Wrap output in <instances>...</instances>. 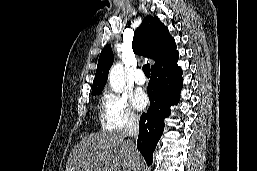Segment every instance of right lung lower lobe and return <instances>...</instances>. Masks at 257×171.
Segmentation results:
<instances>
[{"mask_svg":"<svg viewBox=\"0 0 257 171\" xmlns=\"http://www.w3.org/2000/svg\"><path fill=\"white\" fill-rule=\"evenodd\" d=\"M181 89L182 70L177 61L151 70L147 88L150 107L140 117L137 141V148L148 165L152 164L153 151L163 133L164 118L170 115V106L177 104Z\"/></svg>","mask_w":257,"mask_h":171,"instance_id":"obj_1","label":"right lung lower lobe"}]
</instances>
